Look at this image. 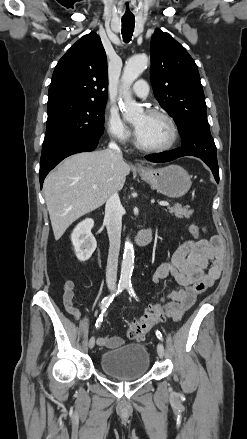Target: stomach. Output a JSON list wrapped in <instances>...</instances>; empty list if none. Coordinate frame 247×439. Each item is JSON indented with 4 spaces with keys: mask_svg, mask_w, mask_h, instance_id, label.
I'll list each match as a JSON object with an SVG mask.
<instances>
[{
    "mask_svg": "<svg viewBox=\"0 0 247 439\" xmlns=\"http://www.w3.org/2000/svg\"><path fill=\"white\" fill-rule=\"evenodd\" d=\"M138 172L144 181L170 198L184 196L192 184L188 172L178 165H169L157 169L144 168L139 169Z\"/></svg>",
    "mask_w": 247,
    "mask_h": 439,
    "instance_id": "obj_1",
    "label": "stomach"
}]
</instances>
